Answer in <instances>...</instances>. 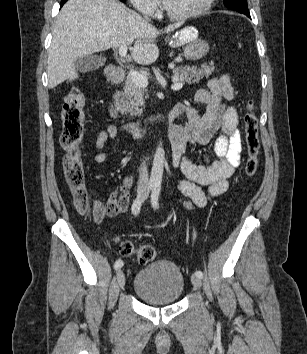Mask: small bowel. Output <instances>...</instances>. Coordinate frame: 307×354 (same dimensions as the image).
I'll return each mask as SVG.
<instances>
[{"label": "small bowel", "mask_w": 307, "mask_h": 354, "mask_svg": "<svg viewBox=\"0 0 307 354\" xmlns=\"http://www.w3.org/2000/svg\"><path fill=\"white\" fill-rule=\"evenodd\" d=\"M233 96L230 78L224 74L210 79L206 89L197 90L191 105L178 104L174 107L175 116L184 118V124L170 126L168 139L172 146V164L185 175V179L177 183V188L186 198L180 202L188 209L204 207L210 199L226 192L228 178L240 165L242 144L238 116L233 107L224 104ZM194 104H205L206 112L200 116ZM217 132H220L214 141L217 159L212 161L205 156L204 165L194 163L187 156L188 149L209 143ZM117 134L118 128L114 124L99 132L95 142V162L106 161L108 153L104 149L105 145L114 140ZM132 183L133 177L126 176L123 186L109 195L103 205L108 208L106 215L114 216L127 210L130 200L128 189ZM204 187L207 189L204 190Z\"/></svg>", "instance_id": "small-bowel-1"}]
</instances>
